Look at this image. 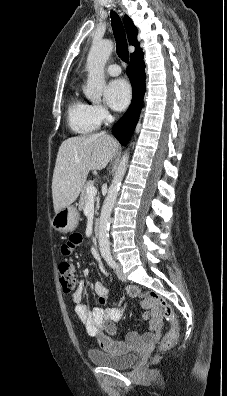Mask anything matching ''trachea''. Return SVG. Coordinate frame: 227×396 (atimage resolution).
Returning <instances> with one entry per match:
<instances>
[{"instance_id":"3493384b","label":"trachea","mask_w":227,"mask_h":396,"mask_svg":"<svg viewBox=\"0 0 227 396\" xmlns=\"http://www.w3.org/2000/svg\"><path fill=\"white\" fill-rule=\"evenodd\" d=\"M112 29L116 40V50L122 61L129 62V52L122 21L115 11H111Z\"/></svg>"}]
</instances>
